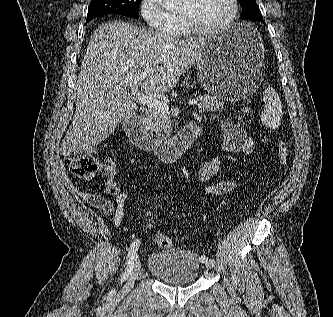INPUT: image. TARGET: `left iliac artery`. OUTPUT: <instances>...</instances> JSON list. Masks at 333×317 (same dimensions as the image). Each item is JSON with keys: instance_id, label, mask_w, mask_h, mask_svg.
<instances>
[{"instance_id": "1", "label": "left iliac artery", "mask_w": 333, "mask_h": 317, "mask_svg": "<svg viewBox=\"0 0 333 317\" xmlns=\"http://www.w3.org/2000/svg\"><path fill=\"white\" fill-rule=\"evenodd\" d=\"M207 260H208V257L205 256V255H202V256L200 257V261H201L202 263H205Z\"/></svg>"}]
</instances>
